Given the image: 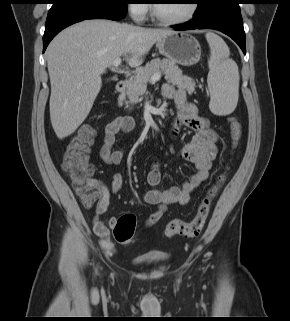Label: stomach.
<instances>
[{
	"mask_svg": "<svg viewBox=\"0 0 290 321\" xmlns=\"http://www.w3.org/2000/svg\"><path fill=\"white\" fill-rule=\"evenodd\" d=\"M157 47L160 54L182 66H192L201 57L199 42L188 32L173 31L160 39Z\"/></svg>",
	"mask_w": 290,
	"mask_h": 321,
	"instance_id": "obj_1",
	"label": "stomach"
}]
</instances>
